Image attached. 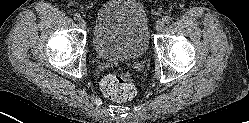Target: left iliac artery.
Instances as JSON below:
<instances>
[{
  "instance_id": "obj_1",
  "label": "left iliac artery",
  "mask_w": 249,
  "mask_h": 123,
  "mask_svg": "<svg viewBox=\"0 0 249 123\" xmlns=\"http://www.w3.org/2000/svg\"><path fill=\"white\" fill-rule=\"evenodd\" d=\"M163 21H164L166 24H168V23H170V21H171V17H169V16H164V17H163Z\"/></svg>"
}]
</instances>
